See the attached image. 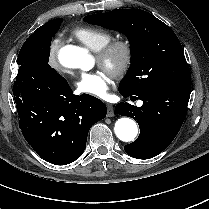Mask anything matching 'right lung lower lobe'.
Returning <instances> with one entry per match:
<instances>
[{"mask_svg": "<svg viewBox=\"0 0 209 209\" xmlns=\"http://www.w3.org/2000/svg\"><path fill=\"white\" fill-rule=\"evenodd\" d=\"M13 94L24 138L40 157L55 165L80 157L91 126L107 113L99 99L74 95L53 68H19Z\"/></svg>", "mask_w": 209, "mask_h": 209, "instance_id": "obj_1", "label": "right lung lower lobe"}]
</instances>
